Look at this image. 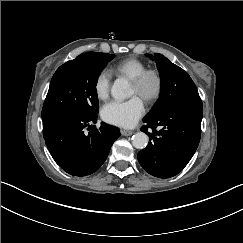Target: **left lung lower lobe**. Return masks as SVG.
<instances>
[{
    "mask_svg": "<svg viewBox=\"0 0 243 243\" xmlns=\"http://www.w3.org/2000/svg\"><path fill=\"white\" fill-rule=\"evenodd\" d=\"M202 116V101L188 99L172 104L153 120H143L147 125L141 130L149 136L147 147L137 155L143 169L158 178L182 171L198 147Z\"/></svg>",
    "mask_w": 243,
    "mask_h": 243,
    "instance_id": "1",
    "label": "left lung lower lobe"
}]
</instances>
